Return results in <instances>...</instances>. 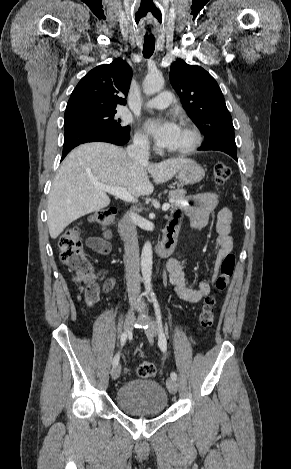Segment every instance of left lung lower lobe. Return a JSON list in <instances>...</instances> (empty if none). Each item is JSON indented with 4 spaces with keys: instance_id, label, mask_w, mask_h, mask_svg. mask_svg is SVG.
I'll return each mask as SVG.
<instances>
[{
    "instance_id": "left-lung-lower-lobe-1",
    "label": "left lung lower lobe",
    "mask_w": 291,
    "mask_h": 469,
    "mask_svg": "<svg viewBox=\"0 0 291 469\" xmlns=\"http://www.w3.org/2000/svg\"><path fill=\"white\" fill-rule=\"evenodd\" d=\"M198 150H218L227 153L231 157H233L237 161V154H236V143L227 142V141H220L211 145H205Z\"/></svg>"
}]
</instances>
